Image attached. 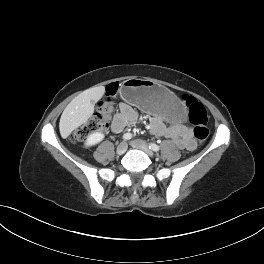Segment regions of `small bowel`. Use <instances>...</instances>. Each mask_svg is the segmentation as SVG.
Returning <instances> with one entry per match:
<instances>
[{
	"instance_id": "obj_1",
	"label": "small bowel",
	"mask_w": 264,
	"mask_h": 264,
	"mask_svg": "<svg viewBox=\"0 0 264 264\" xmlns=\"http://www.w3.org/2000/svg\"><path fill=\"white\" fill-rule=\"evenodd\" d=\"M139 118L136 110L126 103H120L119 112L115 115L112 129L120 132L129 123H135ZM151 133L155 137L171 139L178 147L193 150L196 143L193 139L191 128L185 124L167 125L159 115H154L150 123Z\"/></svg>"
}]
</instances>
